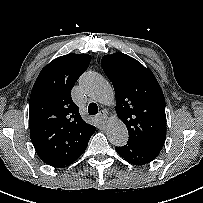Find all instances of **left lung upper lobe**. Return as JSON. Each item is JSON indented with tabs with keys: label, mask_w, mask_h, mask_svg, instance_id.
Instances as JSON below:
<instances>
[{
	"label": "left lung upper lobe",
	"mask_w": 203,
	"mask_h": 203,
	"mask_svg": "<svg viewBox=\"0 0 203 203\" xmlns=\"http://www.w3.org/2000/svg\"><path fill=\"white\" fill-rule=\"evenodd\" d=\"M116 95V112L129 140L160 152L166 139L165 98L154 74L134 58L114 53L101 60Z\"/></svg>",
	"instance_id": "1"
}]
</instances>
